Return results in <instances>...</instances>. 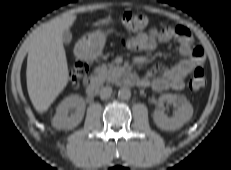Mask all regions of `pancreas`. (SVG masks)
I'll use <instances>...</instances> for the list:
<instances>
[{"label":"pancreas","mask_w":231,"mask_h":170,"mask_svg":"<svg viewBox=\"0 0 231 170\" xmlns=\"http://www.w3.org/2000/svg\"><path fill=\"white\" fill-rule=\"evenodd\" d=\"M118 68L113 64H102L94 72V77L100 81H112L116 77Z\"/></svg>","instance_id":"pancreas-1"}]
</instances>
